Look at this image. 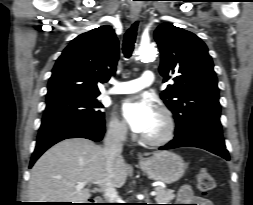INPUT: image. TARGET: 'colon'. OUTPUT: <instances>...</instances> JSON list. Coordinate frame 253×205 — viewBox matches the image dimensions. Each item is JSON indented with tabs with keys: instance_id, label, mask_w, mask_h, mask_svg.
Listing matches in <instances>:
<instances>
[{
	"instance_id": "1",
	"label": "colon",
	"mask_w": 253,
	"mask_h": 205,
	"mask_svg": "<svg viewBox=\"0 0 253 205\" xmlns=\"http://www.w3.org/2000/svg\"><path fill=\"white\" fill-rule=\"evenodd\" d=\"M197 185L201 193L207 194L216 187V180L210 170L202 167L197 174Z\"/></svg>"
}]
</instances>
